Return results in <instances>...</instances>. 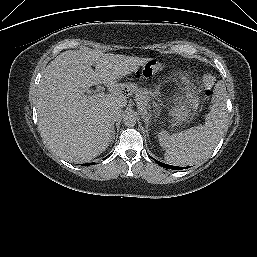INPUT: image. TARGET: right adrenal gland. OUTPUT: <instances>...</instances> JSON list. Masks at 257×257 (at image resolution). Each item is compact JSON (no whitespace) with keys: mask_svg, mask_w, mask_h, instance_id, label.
Returning <instances> with one entry per match:
<instances>
[{"mask_svg":"<svg viewBox=\"0 0 257 257\" xmlns=\"http://www.w3.org/2000/svg\"><path fill=\"white\" fill-rule=\"evenodd\" d=\"M115 128H114V123L112 125V136H111V142L113 143L114 139H115Z\"/></svg>","mask_w":257,"mask_h":257,"instance_id":"right-adrenal-gland-1","label":"right adrenal gland"}]
</instances>
